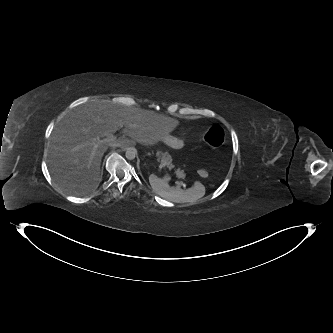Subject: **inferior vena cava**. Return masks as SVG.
Instances as JSON below:
<instances>
[{
    "mask_svg": "<svg viewBox=\"0 0 333 333\" xmlns=\"http://www.w3.org/2000/svg\"><path fill=\"white\" fill-rule=\"evenodd\" d=\"M110 147H113V148L120 147V144H118V143H111Z\"/></svg>",
    "mask_w": 333,
    "mask_h": 333,
    "instance_id": "1",
    "label": "inferior vena cava"
}]
</instances>
